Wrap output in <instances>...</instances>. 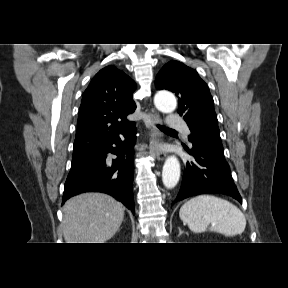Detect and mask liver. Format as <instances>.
Here are the masks:
<instances>
[{
  "label": "liver",
  "instance_id": "6515ba94",
  "mask_svg": "<svg viewBox=\"0 0 288 288\" xmlns=\"http://www.w3.org/2000/svg\"><path fill=\"white\" fill-rule=\"evenodd\" d=\"M63 214L66 243H105L119 229L124 207L109 195L83 193L66 201Z\"/></svg>",
  "mask_w": 288,
  "mask_h": 288
}]
</instances>
